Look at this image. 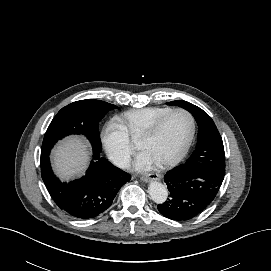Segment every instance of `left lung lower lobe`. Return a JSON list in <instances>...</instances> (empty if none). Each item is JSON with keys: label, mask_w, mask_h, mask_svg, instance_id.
<instances>
[{"label": "left lung lower lobe", "mask_w": 271, "mask_h": 271, "mask_svg": "<svg viewBox=\"0 0 271 271\" xmlns=\"http://www.w3.org/2000/svg\"><path fill=\"white\" fill-rule=\"evenodd\" d=\"M224 175L188 165L173 168L164 177L170 199L158 205L159 212L175 221L196 217L216 198Z\"/></svg>", "instance_id": "0a47b994"}]
</instances>
